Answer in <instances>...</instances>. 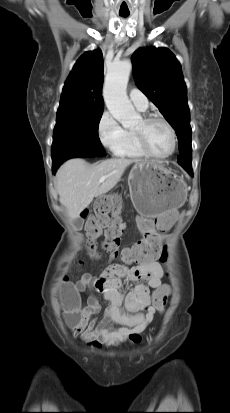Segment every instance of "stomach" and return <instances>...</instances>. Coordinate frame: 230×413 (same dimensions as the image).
I'll return each instance as SVG.
<instances>
[{
	"mask_svg": "<svg viewBox=\"0 0 230 413\" xmlns=\"http://www.w3.org/2000/svg\"><path fill=\"white\" fill-rule=\"evenodd\" d=\"M128 184L133 206L148 218L175 212L187 199L183 178L156 162L136 163L129 174Z\"/></svg>",
	"mask_w": 230,
	"mask_h": 413,
	"instance_id": "0dacf381",
	"label": "stomach"
}]
</instances>
